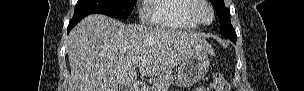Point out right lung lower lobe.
I'll return each mask as SVG.
<instances>
[{
	"label": "right lung lower lobe",
	"mask_w": 304,
	"mask_h": 91,
	"mask_svg": "<svg viewBox=\"0 0 304 91\" xmlns=\"http://www.w3.org/2000/svg\"><path fill=\"white\" fill-rule=\"evenodd\" d=\"M84 17H86V16H83V15L76 16V15H74L73 18L71 19V21L69 22L68 27H67V33H69L70 30H71L78 22H80Z\"/></svg>",
	"instance_id": "obj_1"
}]
</instances>
